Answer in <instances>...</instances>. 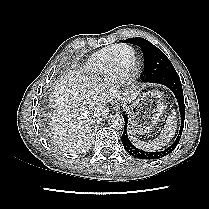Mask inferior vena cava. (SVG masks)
Listing matches in <instances>:
<instances>
[{
	"label": "inferior vena cava",
	"mask_w": 209,
	"mask_h": 209,
	"mask_svg": "<svg viewBox=\"0 0 209 209\" xmlns=\"http://www.w3.org/2000/svg\"><path fill=\"white\" fill-rule=\"evenodd\" d=\"M104 108L103 107H99L98 109H96L95 111V116L96 117H101L104 114Z\"/></svg>",
	"instance_id": "obj_1"
}]
</instances>
